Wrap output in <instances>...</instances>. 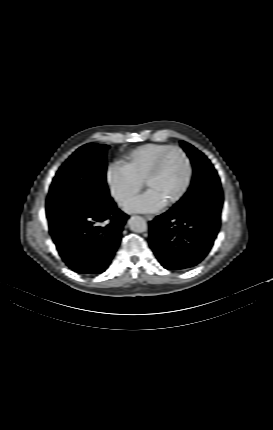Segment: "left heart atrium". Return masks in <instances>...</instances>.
I'll return each instance as SVG.
<instances>
[{"mask_svg":"<svg viewBox=\"0 0 273 430\" xmlns=\"http://www.w3.org/2000/svg\"><path fill=\"white\" fill-rule=\"evenodd\" d=\"M165 203L152 190L146 191L141 196L132 200L126 207L128 212H156L162 209Z\"/></svg>","mask_w":273,"mask_h":430,"instance_id":"obj_1","label":"left heart atrium"}]
</instances>
